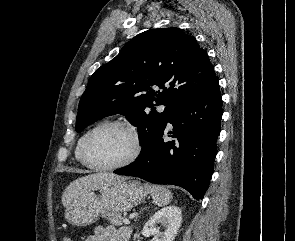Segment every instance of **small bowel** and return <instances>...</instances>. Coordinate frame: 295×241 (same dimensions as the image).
I'll return each mask as SVG.
<instances>
[{"label":"small bowel","mask_w":295,"mask_h":241,"mask_svg":"<svg viewBox=\"0 0 295 241\" xmlns=\"http://www.w3.org/2000/svg\"><path fill=\"white\" fill-rule=\"evenodd\" d=\"M131 230L126 227L97 226L86 241H129ZM66 239H64L65 241Z\"/></svg>","instance_id":"c3829d8e"}]
</instances>
